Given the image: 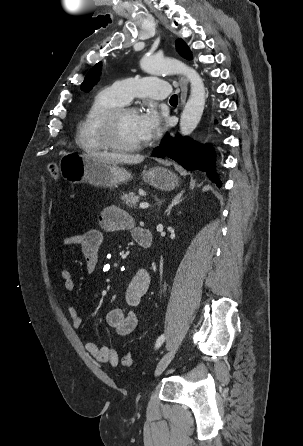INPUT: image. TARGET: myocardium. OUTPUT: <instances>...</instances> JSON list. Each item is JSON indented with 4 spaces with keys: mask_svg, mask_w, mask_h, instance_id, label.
Segmentation results:
<instances>
[{
    "mask_svg": "<svg viewBox=\"0 0 303 446\" xmlns=\"http://www.w3.org/2000/svg\"><path fill=\"white\" fill-rule=\"evenodd\" d=\"M129 111L136 112L135 109L132 107L121 105L108 110L102 116L98 131L101 140L107 148L117 152H134L142 149L145 146L143 142L138 144L125 145L118 142L116 138L119 120L123 114Z\"/></svg>",
    "mask_w": 303,
    "mask_h": 446,
    "instance_id": "obj_1",
    "label": "myocardium"
}]
</instances>
